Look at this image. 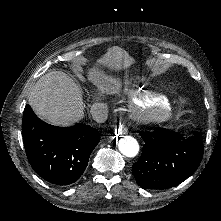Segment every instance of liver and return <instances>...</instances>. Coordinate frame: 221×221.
Returning <instances> with one entry per match:
<instances>
[{"instance_id": "6515ba94", "label": "liver", "mask_w": 221, "mask_h": 221, "mask_svg": "<svg viewBox=\"0 0 221 221\" xmlns=\"http://www.w3.org/2000/svg\"><path fill=\"white\" fill-rule=\"evenodd\" d=\"M98 62L117 65L119 56H111L109 49ZM88 79L97 87L98 98L120 89L118 80L98 71H89ZM28 102L38 117L55 126H72L84 116V102L79 86L61 71H51L41 76L33 86Z\"/></svg>"}]
</instances>
